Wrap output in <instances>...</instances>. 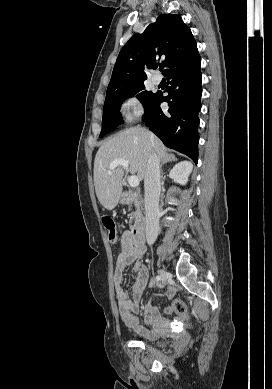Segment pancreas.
<instances>
[{"label":"pancreas","mask_w":272,"mask_h":389,"mask_svg":"<svg viewBox=\"0 0 272 389\" xmlns=\"http://www.w3.org/2000/svg\"><path fill=\"white\" fill-rule=\"evenodd\" d=\"M129 205H134L135 208H136V211L135 212H132L130 214V223H132L133 221L135 223H137L139 221V219L141 218L142 216V210H143V207H142V202L139 200V198L135 197L131 200V202L129 203Z\"/></svg>","instance_id":"obj_1"}]
</instances>
